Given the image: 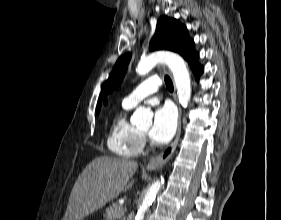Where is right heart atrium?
Returning a JSON list of instances; mask_svg holds the SVG:
<instances>
[{
  "label": "right heart atrium",
  "mask_w": 281,
  "mask_h": 220,
  "mask_svg": "<svg viewBox=\"0 0 281 220\" xmlns=\"http://www.w3.org/2000/svg\"><path fill=\"white\" fill-rule=\"evenodd\" d=\"M142 141H143V144L145 143V138L144 137H142Z\"/></svg>",
  "instance_id": "obj_1"
}]
</instances>
